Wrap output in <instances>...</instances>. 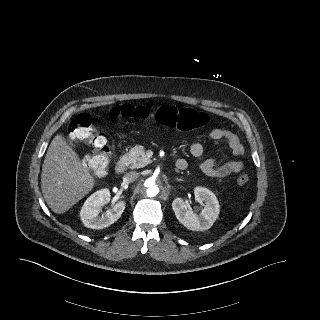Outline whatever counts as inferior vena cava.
I'll return each instance as SVG.
<instances>
[{"instance_id": "1", "label": "inferior vena cava", "mask_w": 320, "mask_h": 320, "mask_svg": "<svg viewBox=\"0 0 320 320\" xmlns=\"http://www.w3.org/2000/svg\"><path fill=\"white\" fill-rule=\"evenodd\" d=\"M138 177H139V173L136 172V171H132V172H129V173L125 174V176L123 177V180H124L125 182H133V181H135Z\"/></svg>"}]
</instances>
